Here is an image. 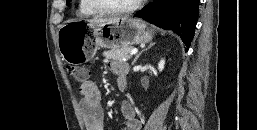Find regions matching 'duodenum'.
<instances>
[{"instance_id": "duodenum-1", "label": "duodenum", "mask_w": 257, "mask_h": 130, "mask_svg": "<svg viewBox=\"0 0 257 130\" xmlns=\"http://www.w3.org/2000/svg\"><path fill=\"white\" fill-rule=\"evenodd\" d=\"M124 87H125V84H122V85L120 86L121 89H124Z\"/></svg>"}]
</instances>
